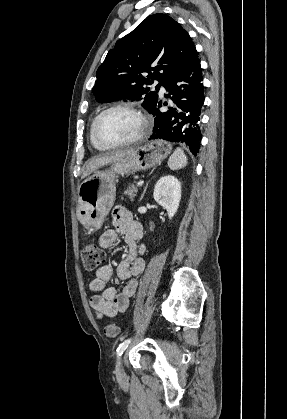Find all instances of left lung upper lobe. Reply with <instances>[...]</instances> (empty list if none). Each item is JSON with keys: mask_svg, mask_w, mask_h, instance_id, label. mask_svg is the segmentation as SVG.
<instances>
[{"mask_svg": "<svg viewBox=\"0 0 287 419\" xmlns=\"http://www.w3.org/2000/svg\"><path fill=\"white\" fill-rule=\"evenodd\" d=\"M197 51L189 34L171 17L154 14L117 41L96 73L93 94L99 102L143 100L150 111L158 100L144 85L158 80L156 91L168 79L185 70ZM148 73L147 78L143 73Z\"/></svg>", "mask_w": 287, "mask_h": 419, "instance_id": "1", "label": "left lung upper lobe"}]
</instances>
